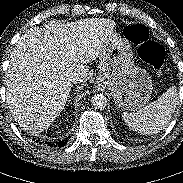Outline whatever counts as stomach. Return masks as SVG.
<instances>
[{
  "instance_id": "obj_1",
  "label": "stomach",
  "mask_w": 183,
  "mask_h": 183,
  "mask_svg": "<svg viewBox=\"0 0 183 183\" xmlns=\"http://www.w3.org/2000/svg\"><path fill=\"white\" fill-rule=\"evenodd\" d=\"M97 83L110 92L117 107L128 111L144 107L153 89L148 72L135 66L129 41L113 31L99 54Z\"/></svg>"
}]
</instances>
